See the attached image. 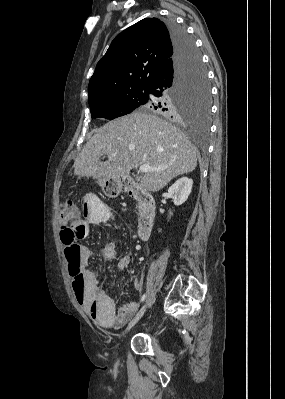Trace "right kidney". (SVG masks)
Returning <instances> with one entry per match:
<instances>
[{"label":"right kidney","mask_w":285,"mask_h":399,"mask_svg":"<svg viewBox=\"0 0 285 399\" xmlns=\"http://www.w3.org/2000/svg\"><path fill=\"white\" fill-rule=\"evenodd\" d=\"M193 180L188 177L178 179L168 189V193L172 196L176 206L182 205L189 197L192 190Z\"/></svg>","instance_id":"right-kidney-1"}]
</instances>
